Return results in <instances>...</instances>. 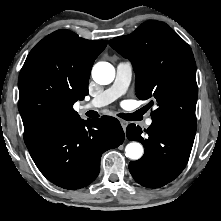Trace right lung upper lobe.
<instances>
[{
    "label": "right lung upper lobe",
    "mask_w": 221,
    "mask_h": 221,
    "mask_svg": "<svg viewBox=\"0 0 221 221\" xmlns=\"http://www.w3.org/2000/svg\"><path fill=\"white\" fill-rule=\"evenodd\" d=\"M106 45L57 30L31 50L18 79L25 144L56 121L79 117L73 104L88 94L92 65Z\"/></svg>",
    "instance_id": "obj_1"
}]
</instances>
